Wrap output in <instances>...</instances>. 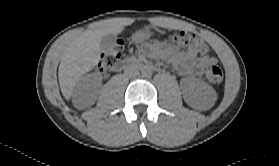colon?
Listing matches in <instances>:
<instances>
[{"label": "colon", "instance_id": "colon-1", "mask_svg": "<svg viewBox=\"0 0 279 166\" xmlns=\"http://www.w3.org/2000/svg\"><path fill=\"white\" fill-rule=\"evenodd\" d=\"M170 43L177 44L197 57L205 55L208 51L206 44L187 32L171 33L167 35ZM123 51L122 42L118 41L111 49L103 54L98 64L100 71H106L113 67L121 56ZM207 80L212 84H220L223 80V70L216 64L209 65L205 71Z\"/></svg>", "mask_w": 279, "mask_h": 166}]
</instances>
